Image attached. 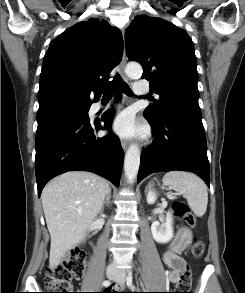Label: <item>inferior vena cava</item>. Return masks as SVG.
<instances>
[{
	"label": "inferior vena cava",
	"mask_w": 245,
	"mask_h": 293,
	"mask_svg": "<svg viewBox=\"0 0 245 293\" xmlns=\"http://www.w3.org/2000/svg\"><path fill=\"white\" fill-rule=\"evenodd\" d=\"M110 268H112V269H116V264H114V263L111 264V265H110Z\"/></svg>",
	"instance_id": "obj_1"
}]
</instances>
